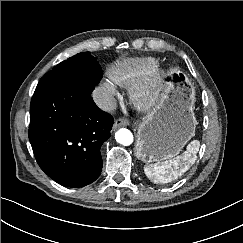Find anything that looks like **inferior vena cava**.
<instances>
[{
    "instance_id": "inferior-vena-cava-1",
    "label": "inferior vena cava",
    "mask_w": 243,
    "mask_h": 243,
    "mask_svg": "<svg viewBox=\"0 0 243 243\" xmlns=\"http://www.w3.org/2000/svg\"><path fill=\"white\" fill-rule=\"evenodd\" d=\"M95 104L103 111H113L116 108V101L112 95L97 88L92 93Z\"/></svg>"
}]
</instances>
